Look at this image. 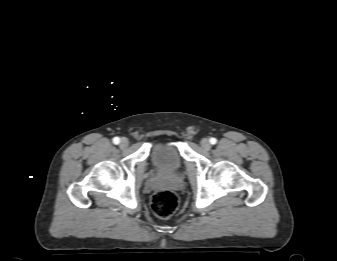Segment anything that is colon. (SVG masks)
<instances>
[{"label": "colon", "mask_w": 337, "mask_h": 261, "mask_svg": "<svg viewBox=\"0 0 337 261\" xmlns=\"http://www.w3.org/2000/svg\"><path fill=\"white\" fill-rule=\"evenodd\" d=\"M179 205L178 195L170 190L156 192L151 200V208L154 214L160 218L172 216Z\"/></svg>", "instance_id": "obj_1"}]
</instances>
